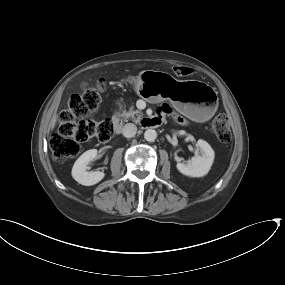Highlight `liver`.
<instances>
[{"instance_id":"6515ba94","label":"liver","mask_w":285,"mask_h":285,"mask_svg":"<svg viewBox=\"0 0 285 285\" xmlns=\"http://www.w3.org/2000/svg\"><path fill=\"white\" fill-rule=\"evenodd\" d=\"M55 124H56V117H54V118L52 119L51 127L54 128Z\"/></svg>"}]
</instances>
